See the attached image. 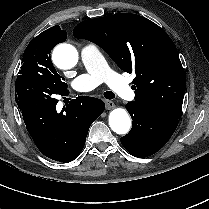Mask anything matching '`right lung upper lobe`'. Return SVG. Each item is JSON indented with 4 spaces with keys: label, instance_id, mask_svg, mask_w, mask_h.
<instances>
[{
    "label": "right lung upper lobe",
    "instance_id": "obj_1",
    "mask_svg": "<svg viewBox=\"0 0 209 209\" xmlns=\"http://www.w3.org/2000/svg\"><path fill=\"white\" fill-rule=\"evenodd\" d=\"M43 33H49L53 36L55 42H56V45L58 43H62L66 40L67 38V34L65 31L61 30L59 26H53L47 30H45L44 32H42L41 34ZM55 45V46H56Z\"/></svg>",
    "mask_w": 209,
    "mask_h": 209
}]
</instances>
